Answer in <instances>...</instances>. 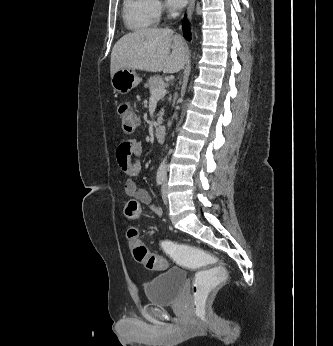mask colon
I'll return each instance as SVG.
<instances>
[{
  "mask_svg": "<svg viewBox=\"0 0 333 346\" xmlns=\"http://www.w3.org/2000/svg\"><path fill=\"white\" fill-rule=\"evenodd\" d=\"M118 115L123 132L131 134L138 126V116L129 103H121L118 107ZM139 214V203L131 200L125 208V216L129 221H135ZM129 245L134 259L149 270H165L169 266L168 260H174L175 268H189L190 271H199L192 283V307L195 313L207 308L211 294L216 293V288H225L226 280L230 275L225 269V264H218V260L212 254L203 249L193 248L192 244H173L171 240H163L161 255L166 259L153 254L147 246L138 239L135 228L128 231Z\"/></svg>",
  "mask_w": 333,
  "mask_h": 346,
  "instance_id": "obj_1",
  "label": "colon"
}]
</instances>
